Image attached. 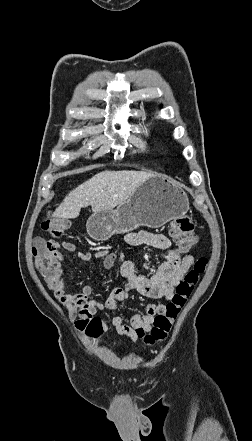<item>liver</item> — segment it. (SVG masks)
<instances>
[{"instance_id": "6515ba94", "label": "liver", "mask_w": 252, "mask_h": 441, "mask_svg": "<svg viewBox=\"0 0 252 441\" xmlns=\"http://www.w3.org/2000/svg\"><path fill=\"white\" fill-rule=\"evenodd\" d=\"M153 176L144 171H102L70 191L53 216L73 219L87 206H91L93 212L114 209Z\"/></svg>"}]
</instances>
